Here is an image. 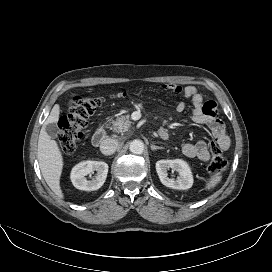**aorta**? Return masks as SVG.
I'll list each match as a JSON object with an SVG mask.
<instances>
[{
  "label": "aorta",
  "mask_w": 272,
  "mask_h": 272,
  "mask_svg": "<svg viewBox=\"0 0 272 272\" xmlns=\"http://www.w3.org/2000/svg\"><path fill=\"white\" fill-rule=\"evenodd\" d=\"M130 152L140 155L144 152V143L141 140H133L129 145Z\"/></svg>",
  "instance_id": "762f6f07"
}]
</instances>
